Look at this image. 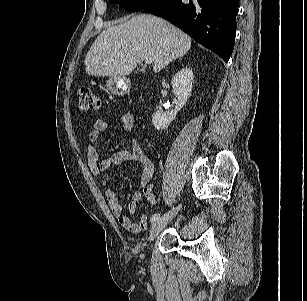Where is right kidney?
<instances>
[{"label":"right kidney","instance_id":"right-kidney-1","mask_svg":"<svg viewBox=\"0 0 307 301\" xmlns=\"http://www.w3.org/2000/svg\"><path fill=\"white\" fill-rule=\"evenodd\" d=\"M194 75L190 68L178 71L171 80L174 95L178 98L174 110L166 113L155 112L152 115V123L157 130H163L176 118L177 112L184 107L188 101L193 84Z\"/></svg>","mask_w":307,"mask_h":301}]
</instances>
